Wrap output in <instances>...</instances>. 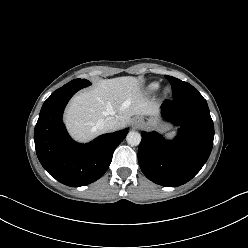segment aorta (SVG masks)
Masks as SVG:
<instances>
[{
    "mask_svg": "<svg viewBox=\"0 0 248 248\" xmlns=\"http://www.w3.org/2000/svg\"><path fill=\"white\" fill-rule=\"evenodd\" d=\"M127 143L131 146H137L141 142V135L136 131H131L126 137Z\"/></svg>",
    "mask_w": 248,
    "mask_h": 248,
    "instance_id": "1",
    "label": "aorta"
}]
</instances>
